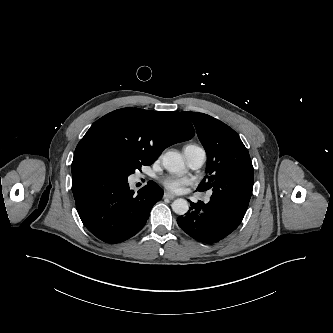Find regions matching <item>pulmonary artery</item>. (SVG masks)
Segmentation results:
<instances>
[{"label":"pulmonary artery","mask_w":333,"mask_h":333,"mask_svg":"<svg viewBox=\"0 0 333 333\" xmlns=\"http://www.w3.org/2000/svg\"><path fill=\"white\" fill-rule=\"evenodd\" d=\"M184 154L189 166L198 169L206 160V153L201 147H189L184 149Z\"/></svg>","instance_id":"pulmonary-artery-1"}]
</instances>
